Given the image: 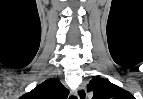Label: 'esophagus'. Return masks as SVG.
<instances>
[{
  "mask_svg": "<svg viewBox=\"0 0 143 99\" xmlns=\"http://www.w3.org/2000/svg\"><path fill=\"white\" fill-rule=\"evenodd\" d=\"M77 96H78V99H86L87 94L84 87H79Z\"/></svg>",
  "mask_w": 143,
  "mask_h": 99,
  "instance_id": "34e87169",
  "label": "esophagus"
}]
</instances>
